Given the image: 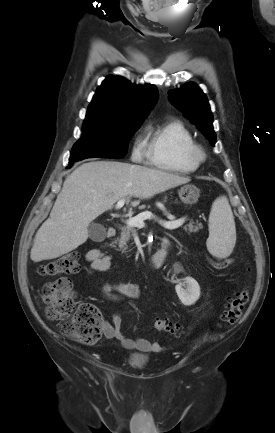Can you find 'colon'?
<instances>
[{
	"label": "colon",
	"instance_id": "5ec220e1",
	"mask_svg": "<svg viewBox=\"0 0 275 433\" xmlns=\"http://www.w3.org/2000/svg\"><path fill=\"white\" fill-rule=\"evenodd\" d=\"M215 268H225L229 261L212 262ZM79 254L70 252L51 260L39 269L43 276H55L54 281L44 285L43 301L47 304L46 316L49 320L62 323L63 331L79 342L90 345L101 337L102 314L91 303L76 306L75 293L69 276L80 271ZM249 300L246 288L239 289L231 296L222 314V320L227 325L236 324L242 317L245 305ZM154 327L174 335L181 334V326L168 319H157Z\"/></svg>",
	"mask_w": 275,
	"mask_h": 433
}]
</instances>
